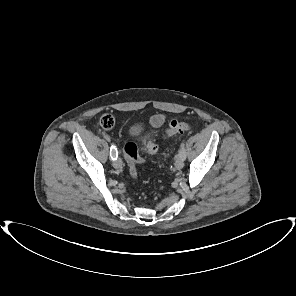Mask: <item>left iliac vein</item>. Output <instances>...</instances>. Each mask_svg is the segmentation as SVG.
Wrapping results in <instances>:
<instances>
[{
	"label": "left iliac vein",
	"mask_w": 296,
	"mask_h": 296,
	"mask_svg": "<svg viewBox=\"0 0 296 296\" xmlns=\"http://www.w3.org/2000/svg\"><path fill=\"white\" fill-rule=\"evenodd\" d=\"M184 166V158L178 157L175 161V167L176 169H181Z\"/></svg>",
	"instance_id": "left-iliac-vein-1"
}]
</instances>
